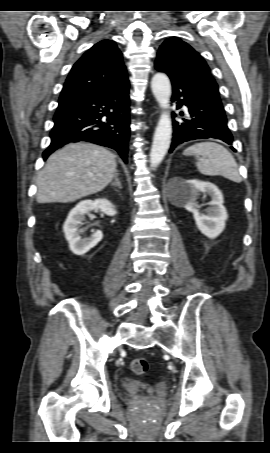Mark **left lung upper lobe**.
<instances>
[{"label": "left lung upper lobe", "instance_id": "5c2ea615", "mask_svg": "<svg viewBox=\"0 0 270 453\" xmlns=\"http://www.w3.org/2000/svg\"><path fill=\"white\" fill-rule=\"evenodd\" d=\"M155 66L185 85L220 99L218 85L205 60L190 45L178 38H168L160 46Z\"/></svg>", "mask_w": 270, "mask_h": 453}]
</instances>
